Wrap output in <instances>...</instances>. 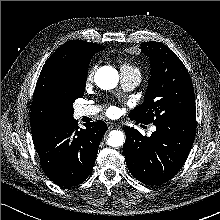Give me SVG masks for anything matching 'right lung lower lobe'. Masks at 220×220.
Masks as SVG:
<instances>
[{
	"label": "right lung lower lobe",
	"instance_id": "98d812e1",
	"mask_svg": "<svg viewBox=\"0 0 220 220\" xmlns=\"http://www.w3.org/2000/svg\"><path fill=\"white\" fill-rule=\"evenodd\" d=\"M103 121L79 129L73 118L59 120L32 133L45 174L56 184L70 188L83 182L92 172L102 136Z\"/></svg>",
	"mask_w": 220,
	"mask_h": 220
}]
</instances>
